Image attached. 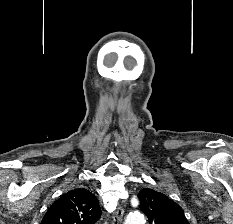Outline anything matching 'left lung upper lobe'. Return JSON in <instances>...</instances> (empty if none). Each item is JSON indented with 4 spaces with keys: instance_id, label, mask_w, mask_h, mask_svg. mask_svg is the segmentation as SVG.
<instances>
[{
    "instance_id": "5c2ea615",
    "label": "left lung upper lobe",
    "mask_w": 233,
    "mask_h": 224,
    "mask_svg": "<svg viewBox=\"0 0 233 224\" xmlns=\"http://www.w3.org/2000/svg\"><path fill=\"white\" fill-rule=\"evenodd\" d=\"M140 209L150 224H189L183 209L166 195L145 188L138 193Z\"/></svg>"
}]
</instances>
